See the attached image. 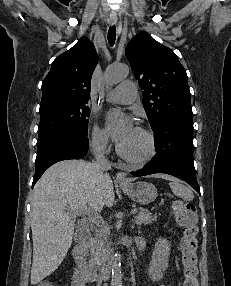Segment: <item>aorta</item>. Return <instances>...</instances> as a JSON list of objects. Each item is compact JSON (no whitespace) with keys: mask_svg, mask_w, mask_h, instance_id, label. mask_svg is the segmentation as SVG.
I'll return each mask as SVG.
<instances>
[{"mask_svg":"<svg viewBox=\"0 0 231 286\" xmlns=\"http://www.w3.org/2000/svg\"><path fill=\"white\" fill-rule=\"evenodd\" d=\"M129 73V67L125 64L111 65L105 72V82L113 86L124 79ZM112 286H122L121 254L116 251L112 261Z\"/></svg>","mask_w":231,"mask_h":286,"instance_id":"aorta-1","label":"aorta"}]
</instances>
